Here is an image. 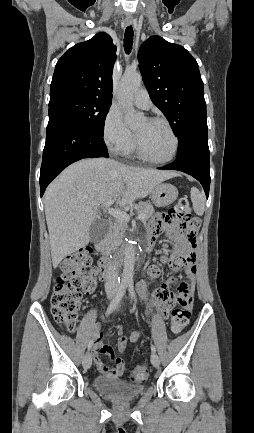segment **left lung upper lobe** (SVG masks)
<instances>
[{
  "instance_id": "5c2ea615",
  "label": "left lung upper lobe",
  "mask_w": 254,
  "mask_h": 433,
  "mask_svg": "<svg viewBox=\"0 0 254 433\" xmlns=\"http://www.w3.org/2000/svg\"><path fill=\"white\" fill-rule=\"evenodd\" d=\"M139 69L153 103L179 141L178 152L208 142L204 85L196 60L182 46L151 36L138 52Z\"/></svg>"
}]
</instances>
